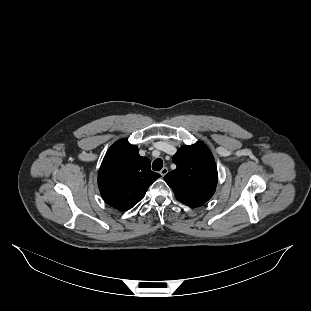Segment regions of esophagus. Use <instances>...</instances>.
<instances>
[{
    "mask_svg": "<svg viewBox=\"0 0 311 311\" xmlns=\"http://www.w3.org/2000/svg\"><path fill=\"white\" fill-rule=\"evenodd\" d=\"M167 172H168V168L167 167H163L161 170H160V174H161V176H165L166 174H167Z\"/></svg>",
    "mask_w": 311,
    "mask_h": 311,
    "instance_id": "esophagus-1",
    "label": "esophagus"
}]
</instances>
